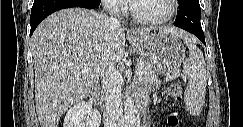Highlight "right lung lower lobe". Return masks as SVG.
<instances>
[{
    "label": "right lung lower lobe",
    "instance_id": "obj_1",
    "mask_svg": "<svg viewBox=\"0 0 243 127\" xmlns=\"http://www.w3.org/2000/svg\"><path fill=\"white\" fill-rule=\"evenodd\" d=\"M100 0H34L31 9V30L30 36L38 24L48 15L64 8L84 7L88 9L96 8Z\"/></svg>",
    "mask_w": 243,
    "mask_h": 127
}]
</instances>
